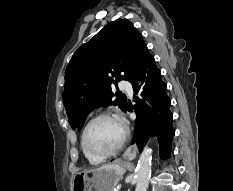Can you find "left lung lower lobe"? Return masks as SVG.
Here are the masks:
<instances>
[{
    "label": "left lung lower lobe",
    "instance_id": "1",
    "mask_svg": "<svg viewBox=\"0 0 233 191\" xmlns=\"http://www.w3.org/2000/svg\"><path fill=\"white\" fill-rule=\"evenodd\" d=\"M129 82L133 86L134 94L141 95V98L135 97L136 133L131 144L136 143L141 153L149 137L156 135L160 158L168 159L175 134L172 127L173 115L169 109L171 100L166 94L167 86L161 80V72L151 54L143 60ZM127 110L131 111L132 108Z\"/></svg>",
    "mask_w": 233,
    "mask_h": 191
}]
</instances>
